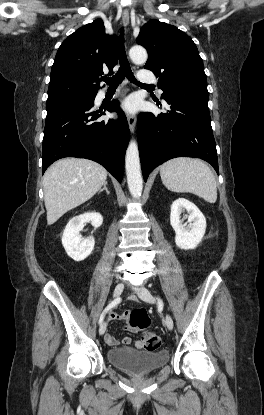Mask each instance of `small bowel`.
I'll return each mask as SVG.
<instances>
[{
	"instance_id": "c3829d8e",
	"label": "small bowel",
	"mask_w": 264,
	"mask_h": 415,
	"mask_svg": "<svg viewBox=\"0 0 264 415\" xmlns=\"http://www.w3.org/2000/svg\"><path fill=\"white\" fill-rule=\"evenodd\" d=\"M128 318V314L127 313H125V312H119V313H116V312H111V313H109V315H108V319H109V321H114V320H126ZM125 330H127V331H129V332H133V333H135V332H137L139 329L138 328H135V327H133V326H131V325H126V326H124L123 327ZM105 341H106V343L109 345V346H112V347H116V346H118V345H120V344H123V345H130L131 344V342H132V340H131V338L129 337V336H125V337H123L122 338V340L121 341H118L112 334H110V333H106L105 334ZM135 347L137 348V349H142L143 348V345H142V342L141 341H136L135 342Z\"/></svg>"
}]
</instances>
